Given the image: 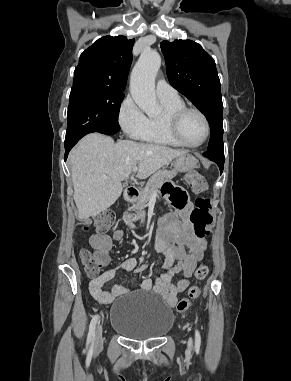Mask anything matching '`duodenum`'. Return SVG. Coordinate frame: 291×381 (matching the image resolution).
<instances>
[{
	"mask_svg": "<svg viewBox=\"0 0 291 381\" xmlns=\"http://www.w3.org/2000/svg\"><path fill=\"white\" fill-rule=\"evenodd\" d=\"M139 190L135 187H129L125 190L124 199L127 203H132L136 200Z\"/></svg>",
	"mask_w": 291,
	"mask_h": 381,
	"instance_id": "duodenum-1",
	"label": "duodenum"
}]
</instances>
